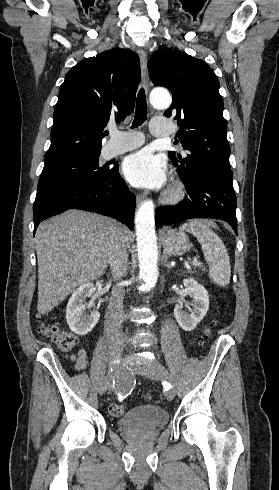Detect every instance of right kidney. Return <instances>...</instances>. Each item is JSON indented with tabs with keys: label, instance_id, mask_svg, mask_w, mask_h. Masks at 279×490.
<instances>
[{
	"label": "right kidney",
	"instance_id": "ca27d5eb",
	"mask_svg": "<svg viewBox=\"0 0 279 490\" xmlns=\"http://www.w3.org/2000/svg\"><path fill=\"white\" fill-rule=\"evenodd\" d=\"M95 292L94 284H82L75 292H73L66 310L67 324L74 334L78 336H86L88 332L93 330L94 326L98 324L100 314L99 312H91L90 316H86V310L91 308L89 304H84L86 298L93 296Z\"/></svg>",
	"mask_w": 279,
	"mask_h": 490
}]
</instances>
